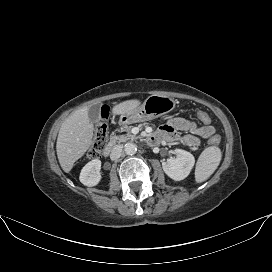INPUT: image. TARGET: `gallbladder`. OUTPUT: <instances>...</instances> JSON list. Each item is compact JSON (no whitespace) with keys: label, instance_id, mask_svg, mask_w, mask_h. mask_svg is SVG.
<instances>
[{"label":"gallbladder","instance_id":"bac80fb5","mask_svg":"<svg viewBox=\"0 0 272 272\" xmlns=\"http://www.w3.org/2000/svg\"><path fill=\"white\" fill-rule=\"evenodd\" d=\"M101 107L100 105H95L89 108L88 117L91 123L97 125L101 120Z\"/></svg>","mask_w":272,"mask_h":272}]
</instances>
